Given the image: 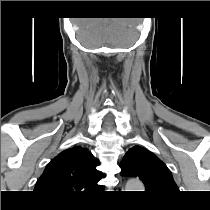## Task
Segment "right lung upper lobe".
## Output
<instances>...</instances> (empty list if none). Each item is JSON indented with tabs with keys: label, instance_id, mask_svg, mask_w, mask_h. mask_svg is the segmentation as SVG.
Instances as JSON below:
<instances>
[{
	"label": "right lung upper lobe",
	"instance_id": "right-lung-upper-lobe-1",
	"mask_svg": "<svg viewBox=\"0 0 210 210\" xmlns=\"http://www.w3.org/2000/svg\"><path fill=\"white\" fill-rule=\"evenodd\" d=\"M99 161L80 146L62 151L46 166L34 191L56 203L75 200L85 193L101 189Z\"/></svg>",
	"mask_w": 210,
	"mask_h": 210
}]
</instances>
